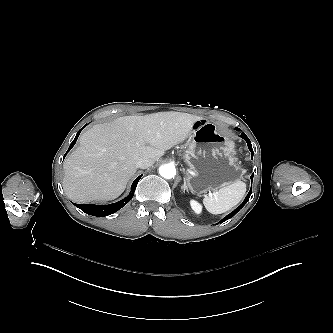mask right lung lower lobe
Here are the masks:
<instances>
[{
	"label": "right lung lower lobe",
	"instance_id": "1",
	"mask_svg": "<svg viewBox=\"0 0 333 333\" xmlns=\"http://www.w3.org/2000/svg\"><path fill=\"white\" fill-rule=\"evenodd\" d=\"M85 126H83V128ZM82 129H80L78 131V133L76 134V137L72 141V143L70 144V147H69L68 151L75 145V143L77 141V138H78ZM68 151L66 152V154L68 153ZM66 154H65V156H66ZM141 177H142V175H140L139 177H137L134 180V182L131 186V192H130L129 196H127L126 198H124L121 201H118L116 203L109 204V205H89V204H85V205L75 204V205L78 208H80L83 212H85L89 215H93V216L103 217V216H108L110 214H113L116 211H118L119 209H121L123 206H125L132 199V197L134 195V192H135V189H136V186H137V183H138V181Z\"/></svg>",
	"mask_w": 333,
	"mask_h": 333
}]
</instances>
